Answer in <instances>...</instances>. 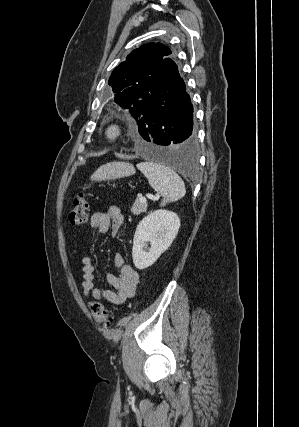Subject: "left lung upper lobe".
Wrapping results in <instances>:
<instances>
[{"instance_id":"left-lung-upper-lobe-1","label":"left lung upper lobe","mask_w":299,"mask_h":427,"mask_svg":"<svg viewBox=\"0 0 299 427\" xmlns=\"http://www.w3.org/2000/svg\"><path fill=\"white\" fill-rule=\"evenodd\" d=\"M170 54L165 45L148 43L132 51L112 72L108 84L115 93V102L128 109L136 121L142 108L159 101L180 80Z\"/></svg>"}]
</instances>
